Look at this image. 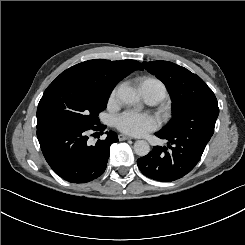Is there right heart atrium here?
I'll list each match as a JSON object with an SVG mask.
<instances>
[{
  "instance_id": "d8ad5b80",
  "label": "right heart atrium",
  "mask_w": 245,
  "mask_h": 245,
  "mask_svg": "<svg viewBox=\"0 0 245 245\" xmlns=\"http://www.w3.org/2000/svg\"><path fill=\"white\" fill-rule=\"evenodd\" d=\"M117 95V87L110 94V101L113 100Z\"/></svg>"
}]
</instances>
